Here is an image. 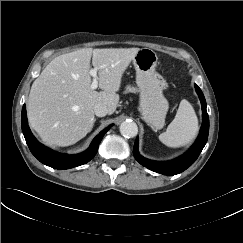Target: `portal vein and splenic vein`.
Here are the masks:
<instances>
[{"mask_svg": "<svg viewBox=\"0 0 243 243\" xmlns=\"http://www.w3.org/2000/svg\"><path fill=\"white\" fill-rule=\"evenodd\" d=\"M102 67V66H101ZM89 74L93 77L91 83V89L95 90L98 87V77H97V68H93L89 71Z\"/></svg>", "mask_w": 243, "mask_h": 243, "instance_id": "18ae733b", "label": "portal vein and splenic vein"}]
</instances>
